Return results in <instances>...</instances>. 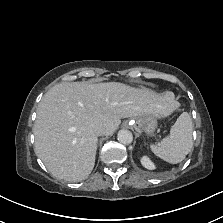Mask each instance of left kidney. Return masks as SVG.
I'll use <instances>...</instances> for the list:
<instances>
[{
	"label": "left kidney",
	"mask_w": 223,
	"mask_h": 223,
	"mask_svg": "<svg viewBox=\"0 0 223 223\" xmlns=\"http://www.w3.org/2000/svg\"><path fill=\"white\" fill-rule=\"evenodd\" d=\"M141 164L146 168V169H149V170H154L156 167L154 165V163L150 160L149 157L147 156H143L141 158Z\"/></svg>",
	"instance_id": "left-kidney-1"
}]
</instances>
